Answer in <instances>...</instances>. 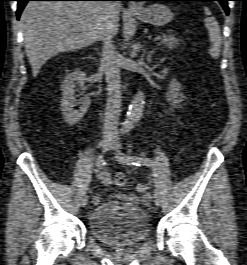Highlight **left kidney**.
Returning <instances> with one entry per match:
<instances>
[{
  "label": "left kidney",
  "instance_id": "left-kidney-1",
  "mask_svg": "<svg viewBox=\"0 0 247 265\" xmlns=\"http://www.w3.org/2000/svg\"><path fill=\"white\" fill-rule=\"evenodd\" d=\"M180 90L181 84L177 80L173 79L170 82L168 91L166 93L167 102L171 106L170 110L172 111L174 108H177V105H180L182 99L184 98V95L182 92H180Z\"/></svg>",
  "mask_w": 247,
  "mask_h": 265
}]
</instances>
